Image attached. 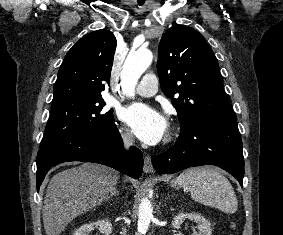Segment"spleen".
Here are the masks:
<instances>
[{"label": "spleen", "mask_w": 283, "mask_h": 235, "mask_svg": "<svg viewBox=\"0 0 283 235\" xmlns=\"http://www.w3.org/2000/svg\"><path fill=\"white\" fill-rule=\"evenodd\" d=\"M176 182L190 191L191 198L224 213L237 211L238 201L229 180L213 168H190L182 172Z\"/></svg>", "instance_id": "spleen-1"}]
</instances>
